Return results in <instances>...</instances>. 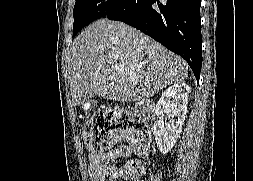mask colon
Here are the masks:
<instances>
[{
    "mask_svg": "<svg viewBox=\"0 0 253 181\" xmlns=\"http://www.w3.org/2000/svg\"><path fill=\"white\" fill-rule=\"evenodd\" d=\"M83 137L92 152L103 151L122 139H130L140 153H144L151 141V134L138 117L121 110L96 113L84 126ZM143 170L140 161H132L128 168L113 177L112 181H139Z\"/></svg>",
    "mask_w": 253,
    "mask_h": 181,
    "instance_id": "colon-1",
    "label": "colon"
}]
</instances>
